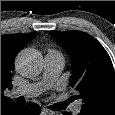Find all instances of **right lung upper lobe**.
Segmentation results:
<instances>
[{"instance_id": "right-lung-upper-lobe-1", "label": "right lung upper lobe", "mask_w": 115, "mask_h": 115, "mask_svg": "<svg viewBox=\"0 0 115 115\" xmlns=\"http://www.w3.org/2000/svg\"><path fill=\"white\" fill-rule=\"evenodd\" d=\"M36 33L8 34L1 36V107L13 102L4 96L6 88L12 89V72L17 53L34 37Z\"/></svg>"}]
</instances>
